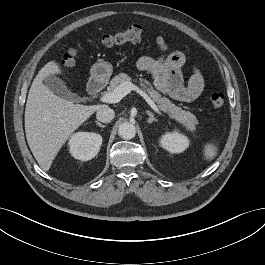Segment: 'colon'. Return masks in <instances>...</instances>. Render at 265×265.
<instances>
[{"instance_id": "colon-1", "label": "colon", "mask_w": 265, "mask_h": 265, "mask_svg": "<svg viewBox=\"0 0 265 265\" xmlns=\"http://www.w3.org/2000/svg\"><path fill=\"white\" fill-rule=\"evenodd\" d=\"M144 31L140 26L133 25L127 30L113 33L104 34L98 38V43L105 47L121 46L126 43H137L142 40ZM76 51L70 49L63 57L64 64L71 66L74 63ZM210 101L213 107L220 108L225 102V96L222 91H213L210 95Z\"/></svg>"}]
</instances>
